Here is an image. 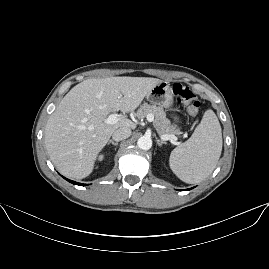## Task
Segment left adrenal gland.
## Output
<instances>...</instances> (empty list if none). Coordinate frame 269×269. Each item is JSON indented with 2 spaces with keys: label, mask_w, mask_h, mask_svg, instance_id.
<instances>
[{
  "label": "left adrenal gland",
  "mask_w": 269,
  "mask_h": 269,
  "mask_svg": "<svg viewBox=\"0 0 269 269\" xmlns=\"http://www.w3.org/2000/svg\"><path fill=\"white\" fill-rule=\"evenodd\" d=\"M155 141L157 142V145H158L159 147H161V146L167 144L166 142H163V141H160L159 139H157V137H156Z\"/></svg>",
  "instance_id": "a2214340"
}]
</instances>
